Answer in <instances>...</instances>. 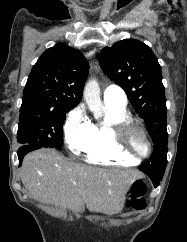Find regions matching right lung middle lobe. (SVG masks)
Listing matches in <instances>:
<instances>
[{
	"label": "right lung middle lobe",
	"mask_w": 187,
	"mask_h": 242,
	"mask_svg": "<svg viewBox=\"0 0 187 242\" xmlns=\"http://www.w3.org/2000/svg\"><path fill=\"white\" fill-rule=\"evenodd\" d=\"M69 110H20L17 140L21 145H36L61 150L63 124Z\"/></svg>",
	"instance_id": "1"
}]
</instances>
